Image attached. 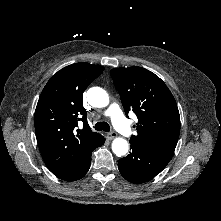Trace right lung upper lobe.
<instances>
[{"label": "right lung upper lobe", "instance_id": "right-lung-upper-lobe-1", "mask_svg": "<svg viewBox=\"0 0 221 221\" xmlns=\"http://www.w3.org/2000/svg\"><path fill=\"white\" fill-rule=\"evenodd\" d=\"M104 70L75 63L59 70L44 87L35 110V132L43 160L50 171L90 150L101 134L91 131L83 107V92ZM78 121L83 128L78 129Z\"/></svg>", "mask_w": 221, "mask_h": 221}]
</instances>
